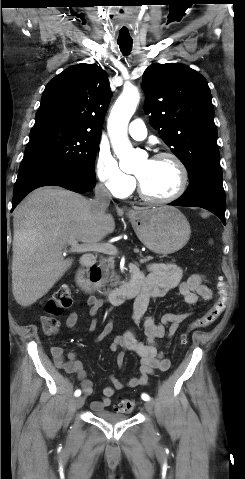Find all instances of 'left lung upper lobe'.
<instances>
[{
    "instance_id": "5c2ea615",
    "label": "left lung upper lobe",
    "mask_w": 245,
    "mask_h": 479,
    "mask_svg": "<svg viewBox=\"0 0 245 479\" xmlns=\"http://www.w3.org/2000/svg\"><path fill=\"white\" fill-rule=\"evenodd\" d=\"M151 125L184 164L189 181L220 167L217 129L206 79L183 64H154L143 75Z\"/></svg>"
}]
</instances>
